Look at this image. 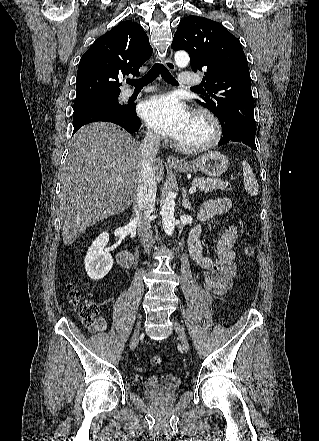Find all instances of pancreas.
I'll list each match as a JSON object with an SVG mask.
<instances>
[{"mask_svg": "<svg viewBox=\"0 0 319 441\" xmlns=\"http://www.w3.org/2000/svg\"><path fill=\"white\" fill-rule=\"evenodd\" d=\"M193 185L198 188L200 193H209L213 192L217 189L220 190H232L230 184L228 182H224L221 179H212V178H195L193 180Z\"/></svg>", "mask_w": 319, "mask_h": 441, "instance_id": "obj_1", "label": "pancreas"}]
</instances>
